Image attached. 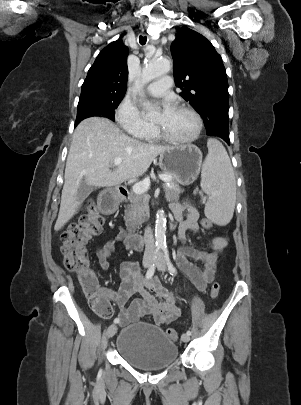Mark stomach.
I'll return each instance as SVG.
<instances>
[{
	"instance_id": "0dacf381",
	"label": "stomach",
	"mask_w": 301,
	"mask_h": 405,
	"mask_svg": "<svg viewBox=\"0 0 301 405\" xmlns=\"http://www.w3.org/2000/svg\"><path fill=\"white\" fill-rule=\"evenodd\" d=\"M159 166L174 182L183 186L192 184L202 166V152L193 144L173 146L160 153Z\"/></svg>"
}]
</instances>
